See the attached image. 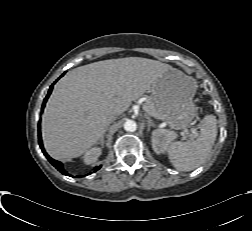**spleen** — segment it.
<instances>
[{"instance_id": "3e777b00", "label": "spleen", "mask_w": 252, "mask_h": 231, "mask_svg": "<svg viewBox=\"0 0 252 231\" xmlns=\"http://www.w3.org/2000/svg\"><path fill=\"white\" fill-rule=\"evenodd\" d=\"M217 120L214 115L204 117L200 135L196 140L171 143L167 149L172 165L181 171H191L200 166L212 149L217 136Z\"/></svg>"}]
</instances>
